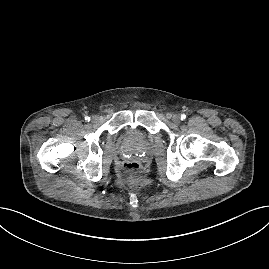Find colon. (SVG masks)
I'll list each match as a JSON object with an SVG mask.
<instances>
[{"instance_id": "1", "label": "colon", "mask_w": 269, "mask_h": 269, "mask_svg": "<svg viewBox=\"0 0 269 269\" xmlns=\"http://www.w3.org/2000/svg\"><path fill=\"white\" fill-rule=\"evenodd\" d=\"M141 165L137 162L123 163L120 167L121 174L127 178H136L141 174Z\"/></svg>"}]
</instances>
